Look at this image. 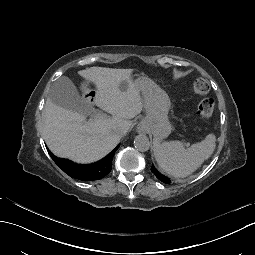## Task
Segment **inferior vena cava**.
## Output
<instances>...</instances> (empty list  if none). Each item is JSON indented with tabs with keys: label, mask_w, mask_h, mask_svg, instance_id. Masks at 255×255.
<instances>
[{
	"label": "inferior vena cava",
	"mask_w": 255,
	"mask_h": 255,
	"mask_svg": "<svg viewBox=\"0 0 255 255\" xmlns=\"http://www.w3.org/2000/svg\"><path fill=\"white\" fill-rule=\"evenodd\" d=\"M130 125L131 124L128 121H123L115 128V131L120 137H122L127 133V131L130 128Z\"/></svg>",
	"instance_id": "inferior-vena-cava-1"
}]
</instances>
